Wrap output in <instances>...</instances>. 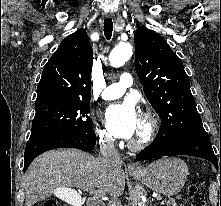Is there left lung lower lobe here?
Wrapping results in <instances>:
<instances>
[{
	"label": "left lung lower lobe",
	"mask_w": 221,
	"mask_h": 206,
	"mask_svg": "<svg viewBox=\"0 0 221 206\" xmlns=\"http://www.w3.org/2000/svg\"><path fill=\"white\" fill-rule=\"evenodd\" d=\"M171 155H190L207 159L218 169L217 158L209 137L184 136L175 139L154 141L136 156L138 160ZM221 172V156H220Z\"/></svg>",
	"instance_id": "left-lung-lower-lobe-1"
}]
</instances>
